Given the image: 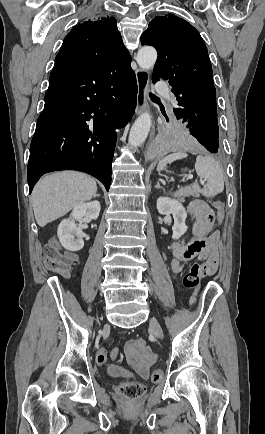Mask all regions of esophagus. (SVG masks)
Here are the masks:
<instances>
[{
    "instance_id": "esophagus-1",
    "label": "esophagus",
    "mask_w": 265,
    "mask_h": 434,
    "mask_svg": "<svg viewBox=\"0 0 265 434\" xmlns=\"http://www.w3.org/2000/svg\"><path fill=\"white\" fill-rule=\"evenodd\" d=\"M137 80V105L135 109L136 115H140L144 110L148 109L147 94L149 90V73L147 70L137 69L135 71ZM155 133V124L152 122L150 140Z\"/></svg>"
}]
</instances>
